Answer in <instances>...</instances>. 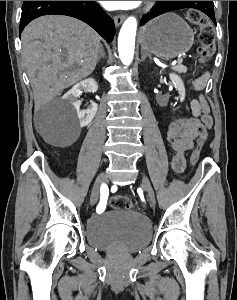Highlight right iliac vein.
I'll list each match as a JSON object with an SVG mask.
<instances>
[{"label":"right iliac vein","instance_id":"right-iliac-vein-1","mask_svg":"<svg viewBox=\"0 0 237 300\" xmlns=\"http://www.w3.org/2000/svg\"><path fill=\"white\" fill-rule=\"evenodd\" d=\"M105 183H106V175L103 172L97 177V179L93 185L92 194H91V198H90L91 205H94L96 203L100 186Z\"/></svg>","mask_w":237,"mask_h":300}]
</instances>
